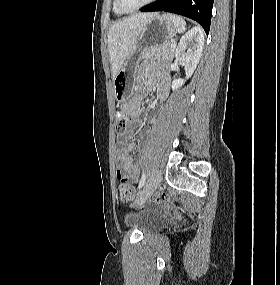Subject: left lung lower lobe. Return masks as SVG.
<instances>
[{
  "instance_id": "left-lung-lower-lobe-1",
  "label": "left lung lower lobe",
  "mask_w": 280,
  "mask_h": 285,
  "mask_svg": "<svg viewBox=\"0 0 280 285\" xmlns=\"http://www.w3.org/2000/svg\"><path fill=\"white\" fill-rule=\"evenodd\" d=\"M214 0H157L141 8L142 12L166 11L197 21L209 33Z\"/></svg>"
}]
</instances>
